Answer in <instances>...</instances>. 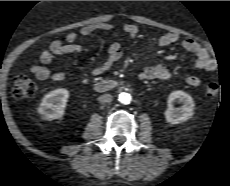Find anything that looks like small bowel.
<instances>
[{
	"label": "small bowel",
	"mask_w": 230,
	"mask_h": 186,
	"mask_svg": "<svg viewBox=\"0 0 230 186\" xmlns=\"http://www.w3.org/2000/svg\"><path fill=\"white\" fill-rule=\"evenodd\" d=\"M114 26L111 23H102L98 25H89L81 28L80 35H89L96 30L109 31L112 30ZM123 30L126 35L130 37H136L139 33V29L134 24H126L123 27ZM79 34L77 32H70L65 38V43L61 40L53 41L47 49H45L40 54V65H35L31 68L32 74L39 80L50 79L53 82H60L65 80L68 76V72H55L50 73L48 65L52 60L59 55H64L70 52H81L82 47L76 44ZM180 40V36L174 32H168L161 35L157 39L158 46H169ZM182 48L190 53L194 54L193 64L197 69L212 72L217 68V62L212 58L208 50L203 47L201 44L196 42L193 39H183L181 41ZM123 56V50L119 43H113L108 52L107 59L99 66L95 67L92 71L94 76H99L110 70L118 61L121 60ZM140 78L143 80H160V81H169L173 79L172 72L162 63H156L143 72L140 73ZM83 83H88L89 79L84 78ZM186 82L193 87L199 86L201 80L199 77L191 75L186 78Z\"/></svg>",
	"instance_id": "1"
}]
</instances>
